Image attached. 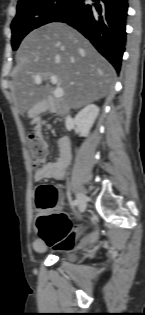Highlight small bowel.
Segmentation results:
<instances>
[{
  "mask_svg": "<svg viewBox=\"0 0 145 315\" xmlns=\"http://www.w3.org/2000/svg\"><path fill=\"white\" fill-rule=\"evenodd\" d=\"M34 125L37 130L40 129V121L38 119L34 120ZM58 145L60 152L59 158L55 161L45 163L41 168L35 169L33 179L36 183L48 179H64L66 168L71 160L70 147L66 139L59 140ZM62 204L63 200L61 198V205H59L58 210H62ZM33 248L37 252H44L46 250V244L40 237H37L33 241Z\"/></svg>",
  "mask_w": 145,
  "mask_h": 315,
  "instance_id": "obj_1",
  "label": "small bowel"
}]
</instances>
